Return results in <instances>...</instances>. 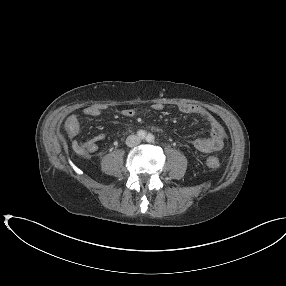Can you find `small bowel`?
<instances>
[{
	"instance_id": "obj_1",
	"label": "small bowel",
	"mask_w": 286,
	"mask_h": 286,
	"mask_svg": "<svg viewBox=\"0 0 286 286\" xmlns=\"http://www.w3.org/2000/svg\"><path fill=\"white\" fill-rule=\"evenodd\" d=\"M152 109L155 111H162L164 105L162 103H155L152 105ZM178 109L184 114L200 115L210 124L211 136L206 139H196L193 142V145L197 150L210 153L222 149L226 137L225 129L209 111L199 105L191 103H181L178 105ZM103 110L104 109L101 106L91 105L83 110V115L86 117H96L99 116ZM121 113L125 117H134L136 114L135 110L132 108L124 109ZM64 127L69 138L74 139L81 133V123L75 114H71L65 118ZM105 137L106 135L101 133L85 141L74 140L72 142L73 150L79 156H87L99 149V143L103 141Z\"/></svg>"
}]
</instances>
